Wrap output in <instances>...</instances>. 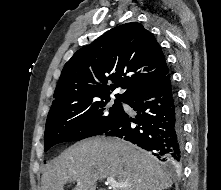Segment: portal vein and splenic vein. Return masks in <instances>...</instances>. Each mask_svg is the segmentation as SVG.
I'll list each match as a JSON object with an SVG mask.
<instances>
[{
    "mask_svg": "<svg viewBox=\"0 0 221 190\" xmlns=\"http://www.w3.org/2000/svg\"><path fill=\"white\" fill-rule=\"evenodd\" d=\"M106 185H109L110 187H126L129 186L126 183H117L116 180L114 178H107L106 180Z\"/></svg>",
    "mask_w": 221,
    "mask_h": 190,
    "instance_id": "18ae733b",
    "label": "portal vein and splenic vein"
}]
</instances>
